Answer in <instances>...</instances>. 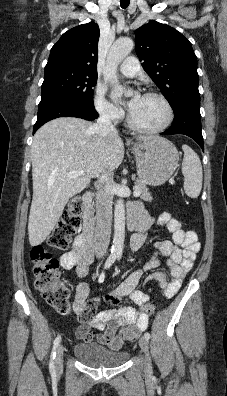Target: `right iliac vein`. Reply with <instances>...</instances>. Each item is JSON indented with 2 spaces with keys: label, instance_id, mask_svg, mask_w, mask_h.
Listing matches in <instances>:
<instances>
[{
  "label": "right iliac vein",
  "instance_id": "obj_1",
  "mask_svg": "<svg viewBox=\"0 0 227 396\" xmlns=\"http://www.w3.org/2000/svg\"><path fill=\"white\" fill-rule=\"evenodd\" d=\"M63 352H64V347L62 344H60L57 347L56 350V357H55V365L57 369H60L62 367L63 364Z\"/></svg>",
  "mask_w": 227,
  "mask_h": 396
}]
</instances>
